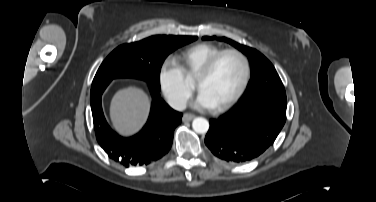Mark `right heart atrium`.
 <instances>
[{
  "instance_id": "d8ad5b80",
  "label": "right heart atrium",
  "mask_w": 376,
  "mask_h": 202,
  "mask_svg": "<svg viewBox=\"0 0 376 202\" xmlns=\"http://www.w3.org/2000/svg\"><path fill=\"white\" fill-rule=\"evenodd\" d=\"M157 78L167 102L175 109H183L192 95V86L178 66L171 59L164 60Z\"/></svg>"
}]
</instances>
